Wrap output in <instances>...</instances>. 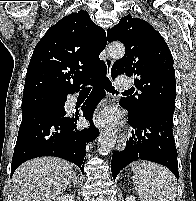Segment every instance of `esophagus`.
<instances>
[{
    "mask_svg": "<svg viewBox=\"0 0 196 201\" xmlns=\"http://www.w3.org/2000/svg\"><path fill=\"white\" fill-rule=\"evenodd\" d=\"M112 64H113V61L110 59V58H107L106 60V65H107V76L108 78L112 79V76H111V67H112ZM105 130L102 129L101 130V133L104 132ZM126 145V137H125V134L124 133H121L119 134L118 136V140H117V146H116V149L118 151H121L124 149Z\"/></svg>",
    "mask_w": 196,
    "mask_h": 201,
    "instance_id": "34e87169",
    "label": "esophagus"
}]
</instances>
